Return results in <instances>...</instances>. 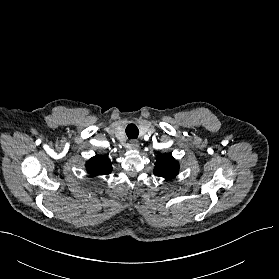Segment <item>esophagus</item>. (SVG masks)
<instances>
[{"mask_svg": "<svg viewBox=\"0 0 279 279\" xmlns=\"http://www.w3.org/2000/svg\"><path fill=\"white\" fill-rule=\"evenodd\" d=\"M130 148L133 150H137L139 148V142L135 139L129 142Z\"/></svg>", "mask_w": 279, "mask_h": 279, "instance_id": "34e87169", "label": "esophagus"}]
</instances>
